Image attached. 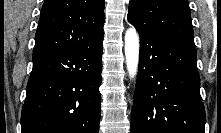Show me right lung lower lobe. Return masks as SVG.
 Wrapping results in <instances>:
<instances>
[{
  "instance_id": "1",
  "label": "right lung lower lobe",
  "mask_w": 221,
  "mask_h": 133,
  "mask_svg": "<svg viewBox=\"0 0 221 133\" xmlns=\"http://www.w3.org/2000/svg\"><path fill=\"white\" fill-rule=\"evenodd\" d=\"M102 31L79 47L33 55L22 133H98Z\"/></svg>"
}]
</instances>
